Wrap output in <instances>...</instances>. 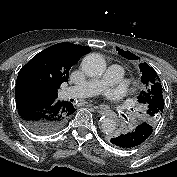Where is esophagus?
Segmentation results:
<instances>
[{
    "label": "esophagus",
    "mask_w": 177,
    "mask_h": 177,
    "mask_svg": "<svg viewBox=\"0 0 177 177\" xmlns=\"http://www.w3.org/2000/svg\"><path fill=\"white\" fill-rule=\"evenodd\" d=\"M97 108L99 110V113H101V114H106L109 111L105 106H100Z\"/></svg>",
    "instance_id": "obj_1"
}]
</instances>
